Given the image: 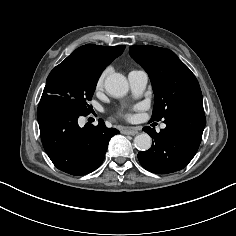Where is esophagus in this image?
<instances>
[{"mask_svg":"<svg viewBox=\"0 0 236 236\" xmlns=\"http://www.w3.org/2000/svg\"><path fill=\"white\" fill-rule=\"evenodd\" d=\"M122 133L125 134V135L134 136V135L138 134V131L136 129H125V130L122 131Z\"/></svg>","mask_w":236,"mask_h":236,"instance_id":"34e87169","label":"esophagus"}]
</instances>
